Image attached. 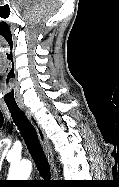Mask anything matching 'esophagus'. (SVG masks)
<instances>
[{
  "label": "esophagus",
  "mask_w": 119,
  "mask_h": 187,
  "mask_svg": "<svg viewBox=\"0 0 119 187\" xmlns=\"http://www.w3.org/2000/svg\"><path fill=\"white\" fill-rule=\"evenodd\" d=\"M20 109L25 113V115L27 116L29 121L35 127L38 137H39V140H40V143H41V146H42L44 153L47 157V160L49 162V165H50V168L52 171V177L56 178L57 177V169H56V166L54 163V156H53L51 144H50L49 140L47 139L43 128L41 127L37 118L34 116V114L32 113V111L29 108H27L24 105H20Z\"/></svg>",
  "instance_id": "obj_1"
}]
</instances>
